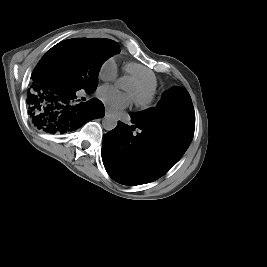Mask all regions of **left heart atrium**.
<instances>
[{
    "instance_id": "obj_1",
    "label": "left heart atrium",
    "mask_w": 267,
    "mask_h": 267,
    "mask_svg": "<svg viewBox=\"0 0 267 267\" xmlns=\"http://www.w3.org/2000/svg\"><path fill=\"white\" fill-rule=\"evenodd\" d=\"M100 96L113 110L125 108L130 102V96L111 86H105L100 90Z\"/></svg>"
}]
</instances>
